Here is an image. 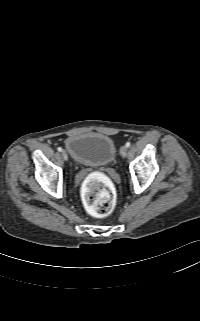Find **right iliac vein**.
<instances>
[{
	"label": "right iliac vein",
	"mask_w": 200,
	"mask_h": 321,
	"mask_svg": "<svg viewBox=\"0 0 200 321\" xmlns=\"http://www.w3.org/2000/svg\"><path fill=\"white\" fill-rule=\"evenodd\" d=\"M61 154H62L63 159H64V160H67L68 156H67L66 152H65V151H62Z\"/></svg>",
	"instance_id": "right-iliac-vein-1"
}]
</instances>
